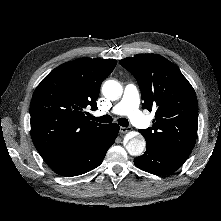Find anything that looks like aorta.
Instances as JSON below:
<instances>
[{
  "instance_id": "1",
  "label": "aorta",
  "mask_w": 221,
  "mask_h": 221,
  "mask_svg": "<svg viewBox=\"0 0 221 221\" xmlns=\"http://www.w3.org/2000/svg\"><path fill=\"white\" fill-rule=\"evenodd\" d=\"M103 95L109 100H118L123 93L121 84L116 80H107L102 86ZM146 147L142 136L133 137L125 146L127 152L132 156H140Z\"/></svg>"
}]
</instances>
